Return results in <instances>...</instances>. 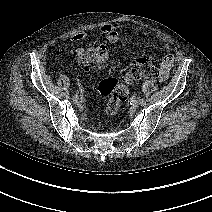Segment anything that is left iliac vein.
Here are the masks:
<instances>
[{
	"label": "left iliac vein",
	"instance_id": "4c4485c4",
	"mask_svg": "<svg viewBox=\"0 0 212 212\" xmlns=\"http://www.w3.org/2000/svg\"><path fill=\"white\" fill-rule=\"evenodd\" d=\"M139 105H140V101L137 100V99L132 102V107L133 108H137Z\"/></svg>",
	"mask_w": 212,
	"mask_h": 212
}]
</instances>
